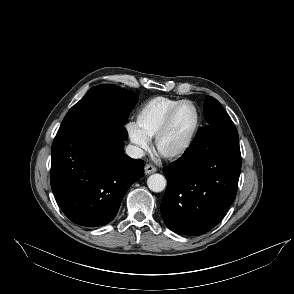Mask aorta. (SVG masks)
<instances>
[{
  "instance_id": "1",
  "label": "aorta",
  "mask_w": 294,
  "mask_h": 294,
  "mask_svg": "<svg viewBox=\"0 0 294 294\" xmlns=\"http://www.w3.org/2000/svg\"><path fill=\"white\" fill-rule=\"evenodd\" d=\"M148 188L153 192H161L166 187V178L161 174H152L147 179Z\"/></svg>"
}]
</instances>
